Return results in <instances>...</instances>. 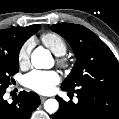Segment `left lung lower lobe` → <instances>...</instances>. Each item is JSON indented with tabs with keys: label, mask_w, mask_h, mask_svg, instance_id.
Listing matches in <instances>:
<instances>
[{
	"label": "left lung lower lobe",
	"mask_w": 119,
	"mask_h": 119,
	"mask_svg": "<svg viewBox=\"0 0 119 119\" xmlns=\"http://www.w3.org/2000/svg\"><path fill=\"white\" fill-rule=\"evenodd\" d=\"M70 91L77 93L78 103L65 102L56 96L60 107L53 119H119L118 84L84 86Z\"/></svg>",
	"instance_id": "1"
}]
</instances>
